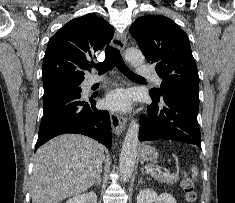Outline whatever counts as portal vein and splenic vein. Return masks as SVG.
I'll list each match as a JSON object with an SVG mask.
<instances>
[{
	"label": "portal vein and splenic vein",
	"mask_w": 235,
	"mask_h": 203,
	"mask_svg": "<svg viewBox=\"0 0 235 203\" xmlns=\"http://www.w3.org/2000/svg\"><path fill=\"white\" fill-rule=\"evenodd\" d=\"M153 171H161V167L157 166L155 168H148L146 170V173H150V172H153ZM166 175H168V174L166 173Z\"/></svg>",
	"instance_id": "obj_1"
}]
</instances>
